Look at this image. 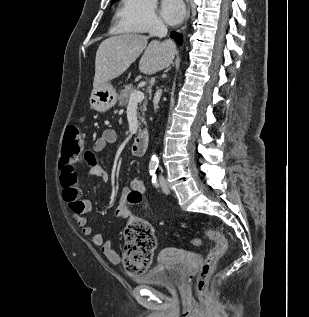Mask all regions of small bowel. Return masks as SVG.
I'll return each instance as SVG.
<instances>
[{"label": "small bowel", "mask_w": 309, "mask_h": 317, "mask_svg": "<svg viewBox=\"0 0 309 317\" xmlns=\"http://www.w3.org/2000/svg\"><path fill=\"white\" fill-rule=\"evenodd\" d=\"M117 140V133L113 129H106L102 135L97 138L92 146V150L85 153L84 159L87 164V176L101 178L104 182L108 181V174L100 165L96 153H100L106 149L108 145H112ZM61 180L63 187V199L66 203V208L75 223L81 229V233L90 237L92 244L100 247L102 253L112 264L121 262L120 254L114 250L110 240L105 239L101 233L94 232L93 228L88 224L87 214L92 210V202L84 198L81 188L78 184V179L73 165H69L61 170ZM131 192H138L142 195V201L138 204L132 203L129 200ZM145 194V186L139 179H132L130 188L125 189L122 193L120 203L116 209V217L128 218L133 217V212L137 209H142L145 206L143 196Z\"/></svg>", "instance_id": "1"}]
</instances>
